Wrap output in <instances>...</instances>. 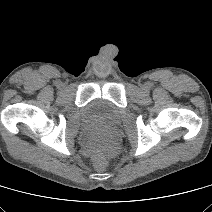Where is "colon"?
Listing matches in <instances>:
<instances>
[{"label": "colon", "instance_id": "5ec220e1", "mask_svg": "<svg viewBox=\"0 0 212 212\" xmlns=\"http://www.w3.org/2000/svg\"><path fill=\"white\" fill-rule=\"evenodd\" d=\"M92 151L97 157H102L104 153V147L101 144H97L93 147Z\"/></svg>", "mask_w": 212, "mask_h": 212}]
</instances>
